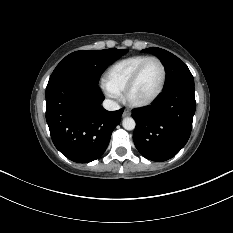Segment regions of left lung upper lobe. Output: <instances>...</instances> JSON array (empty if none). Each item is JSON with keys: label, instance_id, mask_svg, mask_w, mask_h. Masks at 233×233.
<instances>
[{"label": "left lung upper lobe", "instance_id": "1", "mask_svg": "<svg viewBox=\"0 0 233 233\" xmlns=\"http://www.w3.org/2000/svg\"><path fill=\"white\" fill-rule=\"evenodd\" d=\"M143 52L156 55L164 65L167 73L164 89L178 85H194V78L186 64L172 53L155 47L144 49Z\"/></svg>", "mask_w": 233, "mask_h": 233}]
</instances>
